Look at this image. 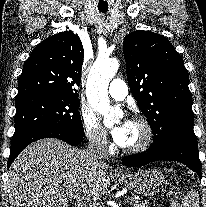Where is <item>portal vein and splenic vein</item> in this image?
I'll return each instance as SVG.
<instances>
[{"mask_svg": "<svg viewBox=\"0 0 206 207\" xmlns=\"http://www.w3.org/2000/svg\"><path fill=\"white\" fill-rule=\"evenodd\" d=\"M74 198H76V199H77L78 197H77V196H74ZM78 202H81V201H80V200H78ZM93 205H96V204H93Z\"/></svg>", "mask_w": 206, "mask_h": 207, "instance_id": "portal-vein-and-splenic-vein-1", "label": "portal vein and splenic vein"}]
</instances>
